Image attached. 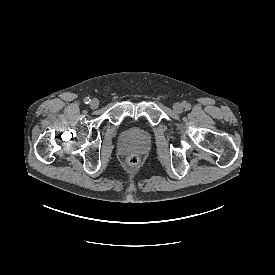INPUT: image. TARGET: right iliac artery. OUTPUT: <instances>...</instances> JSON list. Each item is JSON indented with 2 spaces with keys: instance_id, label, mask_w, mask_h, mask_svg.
I'll return each mask as SVG.
<instances>
[{
  "instance_id": "right-iliac-artery-1",
  "label": "right iliac artery",
  "mask_w": 275,
  "mask_h": 275,
  "mask_svg": "<svg viewBox=\"0 0 275 275\" xmlns=\"http://www.w3.org/2000/svg\"><path fill=\"white\" fill-rule=\"evenodd\" d=\"M84 102H85L86 104H88V103L90 102V99H89V98H85V99H84Z\"/></svg>"
}]
</instances>
